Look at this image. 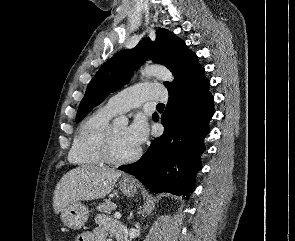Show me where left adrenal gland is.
<instances>
[{
  "label": "left adrenal gland",
  "instance_id": "left-adrenal-gland-1",
  "mask_svg": "<svg viewBox=\"0 0 295 241\" xmlns=\"http://www.w3.org/2000/svg\"><path fill=\"white\" fill-rule=\"evenodd\" d=\"M133 218V213H130L129 219L131 220Z\"/></svg>",
  "mask_w": 295,
  "mask_h": 241
}]
</instances>
